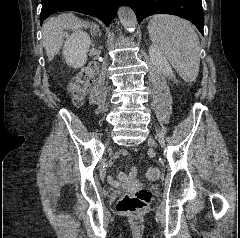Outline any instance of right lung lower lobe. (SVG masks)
<instances>
[{"label": "right lung lower lobe", "mask_w": 240, "mask_h": 238, "mask_svg": "<svg viewBox=\"0 0 240 238\" xmlns=\"http://www.w3.org/2000/svg\"><path fill=\"white\" fill-rule=\"evenodd\" d=\"M122 0H42L40 23L50 15L61 11H77L99 18L109 25Z\"/></svg>", "instance_id": "1"}]
</instances>
